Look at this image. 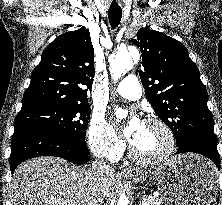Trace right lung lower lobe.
Here are the masks:
<instances>
[{
    "instance_id": "obj_1",
    "label": "right lung lower lobe",
    "mask_w": 222,
    "mask_h": 205,
    "mask_svg": "<svg viewBox=\"0 0 222 205\" xmlns=\"http://www.w3.org/2000/svg\"><path fill=\"white\" fill-rule=\"evenodd\" d=\"M85 142L36 127H15L11 140V172L23 161L37 156H57L75 164L89 161Z\"/></svg>"
}]
</instances>
